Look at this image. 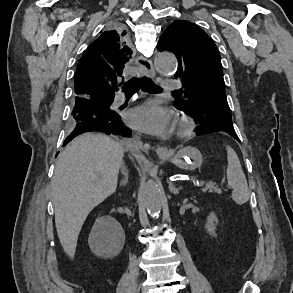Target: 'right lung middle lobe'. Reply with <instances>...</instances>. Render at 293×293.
Segmentation results:
<instances>
[{"label": "right lung middle lobe", "instance_id": "obj_1", "mask_svg": "<svg viewBox=\"0 0 293 293\" xmlns=\"http://www.w3.org/2000/svg\"><path fill=\"white\" fill-rule=\"evenodd\" d=\"M105 105H106V106H104L105 108H109V107H108V104H105Z\"/></svg>", "mask_w": 293, "mask_h": 293}]
</instances>
